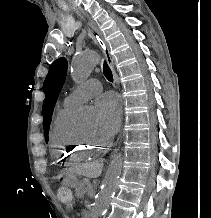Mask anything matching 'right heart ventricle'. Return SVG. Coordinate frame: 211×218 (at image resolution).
Listing matches in <instances>:
<instances>
[{
	"label": "right heart ventricle",
	"instance_id": "obj_1",
	"mask_svg": "<svg viewBox=\"0 0 211 218\" xmlns=\"http://www.w3.org/2000/svg\"><path fill=\"white\" fill-rule=\"evenodd\" d=\"M76 108L63 107L57 113L53 123V138L59 144H52L55 152V165H78L104 152V143L88 142L80 130L73 124Z\"/></svg>",
	"mask_w": 211,
	"mask_h": 218
}]
</instances>
